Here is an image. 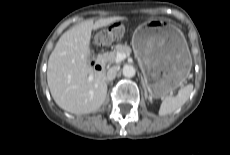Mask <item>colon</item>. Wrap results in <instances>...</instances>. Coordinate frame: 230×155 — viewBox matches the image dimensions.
I'll return each mask as SVG.
<instances>
[{"mask_svg": "<svg viewBox=\"0 0 230 155\" xmlns=\"http://www.w3.org/2000/svg\"><path fill=\"white\" fill-rule=\"evenodd\" d=\"M125 25L122 22H115L108 27V30L100 32L96 41L99 45H106L113 40H121L124 37Z\"/></svg>", "mask_w": 230, "mask_h": 155, "instance_id": "5ec220e1", "label": "colon"}]
</instances>
